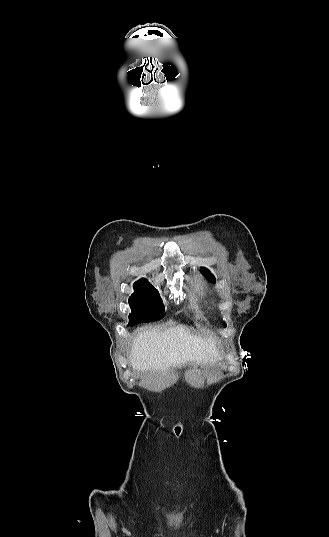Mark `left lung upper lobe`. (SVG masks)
I'll list each match as a JSON object with an SVG mask.
<instances>
[{
	"mask_svg": "<svg viewBox=\"0 0 329 537\" xmlns=\"http://www.w3.org/2000/svg\"><path fill=\"white\" fill-rule=\"evenodd\" d=\"M203 273L206 275L207 278H209L212 281H216L215 277L207 268H202ZM226 326V324H225Z\"/></svg>",
	"mask_w": 329,
	"mask_h": 537,
	"instance_id": "1",
	"label": "left lung upper lobe"
}]
</instances>
